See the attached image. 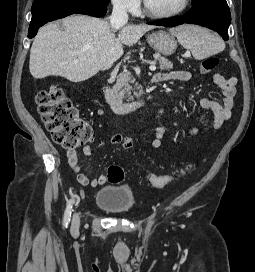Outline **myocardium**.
Here are the masks:
<instances>
[{
  "instance_id": "obj_1",
  "label": "myocardium",
  "mask_w": 255,
  "mask_h": 272,
  "mask_svg": "<svg viewBox=\"0 0 255 272\" xmlns=\"http://www.w3.org/2000/svg\"><path fill=\"white\" fill-rule=\"evenodd\" d=\"M191 0H184L182 5L172 11H168V12H161V13H157V12H153L151 11L147 4L146 1L144 2V13L151 17V18H156V19H164V18H171V17H175L177 15H180L181 13H183L190 5Z\"/></svg>"
}]
</instances>
